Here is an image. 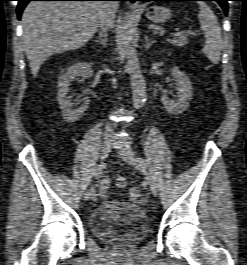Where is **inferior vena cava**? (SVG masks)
<instances>
[{"instance_id": "602c4592", "label": "inferior vena cava", "mask_w": 247, "mask_h": 265, "mask_svg": "<svg viewBox=\"0 0 247 265\" xmlns=\"http://www.w3.org/2000/svg\"><path fill=\"white\" fill-rule=\"evenodd\" d=\"M102 11L100 13L99 17V27L101 29V33L106 35L107 30L110 28L111 23H112V18L114 17V14L116 12V9L118 7V3L115 1H106L102 2ZM112 83L114 87H116V80L113 79ZM106 131L107 132H112V127L111 125L106 126Z\"/></svg>"}]
</instances>
